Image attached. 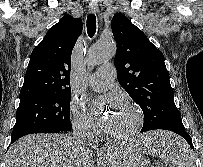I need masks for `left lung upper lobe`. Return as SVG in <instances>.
I'll use <instances>...</instances> for the list:
<instances>
[{"label":"left lung upper lobe","mask_w":203,"mask_h":167,"mask_svg":"<svg viewBox=\"0 0 203 167\" xmlns=\"http://www.w3.org/2000/svg\"><path fill=\"white\" fill-rule=\"evenodd\" d=\"M111 26L117 79L144 113L142 130H185L162 52L123 14H115Z\"/></svg>","instance_id":"obj_1"}]
</instances>
